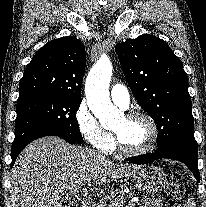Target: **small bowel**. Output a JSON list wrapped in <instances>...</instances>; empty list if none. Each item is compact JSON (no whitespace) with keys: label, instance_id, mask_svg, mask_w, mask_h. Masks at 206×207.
Segmentation results:
<instances>
[{"label":"small bowel","instance_id":"1","mask_svg":"<svg viewBox=\"0 0 206 207\" xmlns=\"http://www.w3.org/2000/svg\"><path fill=\"white\" fill-rule=\"evenodd\" d=\"M142 207H162L161 203L156 201H146Z\"/></svg>","mask_w":206,"mask_h":207}]
</instances>
